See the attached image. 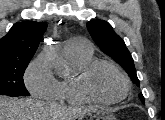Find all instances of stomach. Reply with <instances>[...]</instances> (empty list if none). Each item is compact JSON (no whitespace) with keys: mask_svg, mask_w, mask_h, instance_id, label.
<instances>
[{"mask_svg":"<svg viewBox=\"0 0 165 120\" xmlns=\"http://www.w3.org/2000/svg\"><path fill=\"white\" fill-rule=\"evenodd\" d=\"M85 117L90 118V120L93 118H96L97 120H117L116 117L111 113L100 110L89 111L87 114H85ZM82 118L83 117H81L79 120H82Z\"/></svg>","mask_w":165,"mask_h":120,"instance_id":"obj_1","label":"stomach"}]
</instances>
